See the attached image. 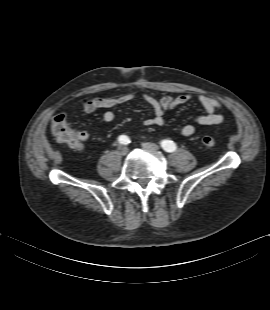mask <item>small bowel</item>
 <instances>
[{
	"label": "small bowel",
	"instance_id": "1",
	"mask_svg": "<svg viewBox=\"0 0 270 310\" xmlns=\"http://www.w3.org/2000/svg\"><path fill=\"white\" fill-rule=\"evenodd\" d=\"M135 97V93H126L111 97H88L81 99V106L86 113H93L99 109H106L103 113V120L106 123H110L114 120L115 114L109 109L115 105L127 103ZM142 98L153 109V116L145 119L144 124L146 126L161 127L165 123V113L179 105L189 102L192 96L190 94H181L176 97L166 95L161 98H156L151 94L145 93L142 94ZM198 101L202 105L205 113L195 118L196 123L204 126H213L223 122V116L215 113L217 109L222 107L219 100L208 95H200L198 96ZM176 130L186 137H190L195 133V127L191 124L179 126ZM77 133L79 134L80 147L75 149H81L83 143L89 139V134L84 130L77 131Z\"/></svg>",
	"mask_w": 270,
	"mask_h": 310
}]
</instances>
